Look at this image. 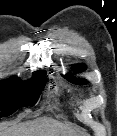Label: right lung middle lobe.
<instances>
[{
	"instance_id": "right-lung-middle-lobe-1",
	"label": "right lung middle lobe",
	"mask_w": 117,
	"mask_h": 136,
	"mask_svg": "<svg viewBox=\"0 0 117 136\" xmlns=\"http://www.w3.org/2000/svg\"><path fill=\"white\" fill-rule=\"evenodd\" d=\"M45 72L37 71L30 80L11 78L0 81V118L13 114L20 107L34 105L45 86Z\"/></svg>"
}]
</instances>
